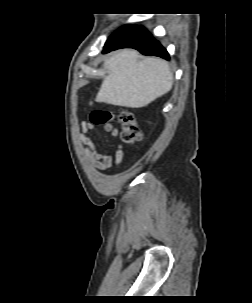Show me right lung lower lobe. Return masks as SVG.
Here are the masks:
<instances>
[{"mask_svg":"<svg viewBox=\"0 0 252 303\" xmlns=\"http://www.w3.org/2000/svg\"><path fill=\"white\" fill-rule=\"evenodd\" d=\"M125 47L137 49L143 55H154L169 60L167 50L144 27L122 26L107 40L103 53Z\"/></svg>","mask_w":252,"mask_h":303,"instance_id":"98d812e1","label":"right lung lower lobe"}]
</instances>
